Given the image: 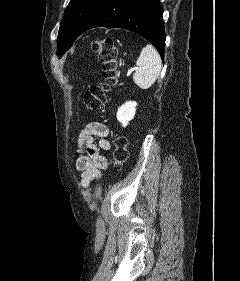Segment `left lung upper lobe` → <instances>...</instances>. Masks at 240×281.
Instances as JSON below:
<instances>
[{"label":"left lung upper lobe","instance_id":"obj_1","mask_svg":"<svg viewBox=\"0 0 240 281\" xmlns=\"http://www.w3.org/2000/svg\"><path fill=\"white\" fill-rule=\"evenodd\" d=\"M101 2L102 0H70L58 33L57 54L59 56L73 45L82 27Z\"/></svg>","mask_w":240,"mask_h":281}]
</instances>
